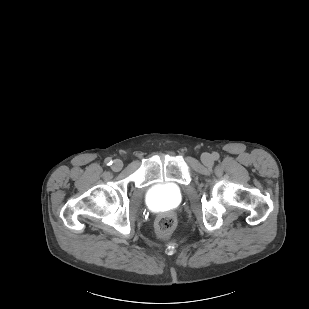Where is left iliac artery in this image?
Wrapping results in <instances>:
<instances>
[{"label": "left iliac artery", "instance_id": "1", "mask_svg": "<svg viewBox=\"0 0 309 309\" xmlns=\"http://www.w3.org/2000/svg\"><path fill=\"white\" fill-rule=\"evenodd\" d=\"M213 158H214L215 160H217V159L219 158L218 153H213Z\"/></svg>", "mask_w": 309, "mask_h": 309}]
</instances>
